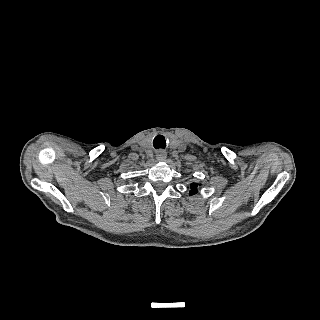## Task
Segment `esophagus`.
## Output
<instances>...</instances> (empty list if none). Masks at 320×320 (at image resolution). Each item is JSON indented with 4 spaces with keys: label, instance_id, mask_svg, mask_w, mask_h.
I'll return each mask as SVG.
<instances>
[{
    "label": "esophagus",
    "instance_id": "34e87169",
    "mask_svg": "<svg viewBox=\"0 0 320 320\" xmlns=\"http://www.w3.org/2000/svg\"><path fill=\"white\" fill-rule=\"evenodd\" d=\"M157 160L164 161L167 157V154L164 150H159L156 154Z\"/></svg>",
    "mask_w": 320,
    "mask_h": 320
}]
</instances>
